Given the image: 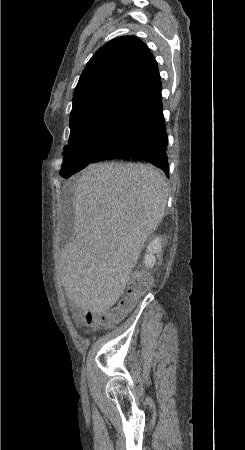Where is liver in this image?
I'll use <instances>...</instances> for the list:
<instances>
[{"label": "liver", "mask_w": 245, "mask_h": 450, "mask_svg": "<svg viewBox=\"0 0 245 450\" xmlns=\"http://www.w3.org/2000/svg\"><path fill=\"white\" fill-rule=\"evenodd\" d=\"M168 188L152 165L90 164L74 187L75 239L61 254L68 299L103 313L122 296L141 250L162 221Z\"/></svg>", "instance_id": "obj_1"}]
</instances>
